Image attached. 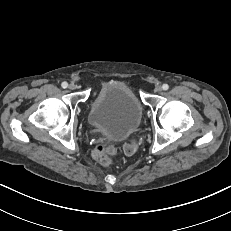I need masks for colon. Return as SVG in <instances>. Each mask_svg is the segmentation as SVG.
I'll return each mask as SVG.
<instances>
[{"mask_svg": "<svg viewBox=\"0 0 231 231\" xmlns=\"http://www.w3.org/2000/svg\"><path fill=\"white\" fill-rule=\"evenodd\" d=\"M123 151L131 155L136 151V146L133 143H128L123 147ZM117 148L110 141H102L93 150V158L100 164L107 165L116 156Z\"/></svg>", "mask_w": 231, "mask_h": 231, "instance_id": "colon-1", "label": "colon"}]
</instances>
